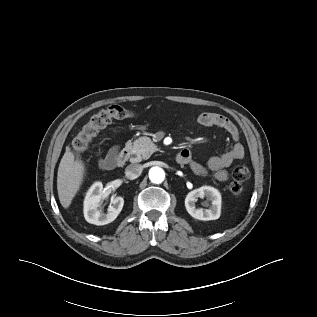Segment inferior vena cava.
I'll return each instance as SVG.
<instances>
[{"instance_id": "inferior-vena-cava-1", "label": "inferior vena cava", "mask_w": 317, "mask_h": 317, "mask_svg": "<svg viewBox=\"0 0 317 317\" xmlns=\"http://www.w3.org/2000/svg\"><path fill=\"white\" fill-rule=\"evenodd\" d=\"M143 167L140 164H130L125 169V174L129 179H135L140 176Z\"/></svg>"}]
</instances>
